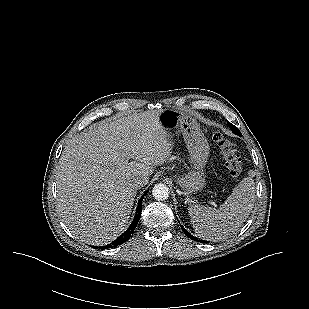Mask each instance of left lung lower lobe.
<instances>
[{"label": "left lung lower lobe", "mask_w": 309, "mask_h": 309, "mask_svg": "<svg viewBox=\"0 0 309 309\" xmlns=\"http://www.w3.org/2000/svg\"><path fill=\"white\" fill-rule=\"evenodd\" d=\"M183 232L186 234V236H188L189 238H191L192 240L198 241L200 242V240H198V238L192 236L190 233H188L183 227H181ZM207 241H203V243H206Z\"/></svg>", "instance_id": "obj_1"}]
</instances>
